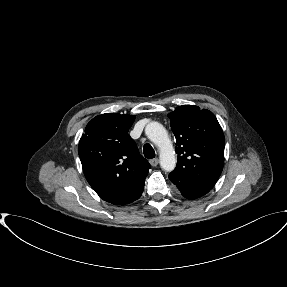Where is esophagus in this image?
I'll return each instance as SVG.
<instances>
[{"mask_svg":"<svg viewBox=\"0 0 287 287\" xmlns=\"http://www.w3.org/2000/svg\"><path fill=\"white\" fill-rule=\"evenodd\" d=\"M149 162H150V164H151L153 167H155V166L158 165L159 159H158V158H154V159H151Z\"/></svg>","mask_w":287,"mask_h":287,"instance_id":"esophagus-1","label":"esophagus"}]
</instances>
